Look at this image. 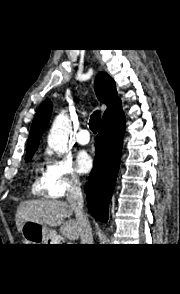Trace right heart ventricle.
Returning a JSON list of instances; mask_svg holds the SVG:
<instances>
[{
    "instance_id": "1",
    "label": "right heart ventricle",
    "mask_w": 180,
    "mask_h": 294,
    "mask_svg": "<svg viewBox=\"0 0 180 294\" xmlns=\"http://www.w3.org/2000/svg\"><path fill=\"white\" fill-rule=\"evenodd\" d=\"M42 171L41 163L37 162L33 173V181L31 184V193L33 195H42L44 191L43 177L40 176Z\"/></svg>"
}]
</instances>
